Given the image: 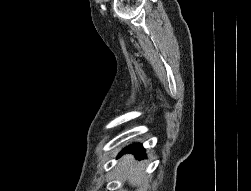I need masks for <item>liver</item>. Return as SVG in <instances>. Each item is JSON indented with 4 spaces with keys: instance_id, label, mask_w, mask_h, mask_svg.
I'll return each mask as SVG.
<instances>
[{
    "instance_id": "obj_1",
    "label": "liver",
    "mask_w": 251,
    "mask_h": 191,
    "mask_svg": "<svg viewBox=\"0 0 251 191\" xmlns=\"http://www.w3.org/2000/svg\"><path fill=\"white\" fill-rule=\"evenodd\" d=\"M118 171H121L122 177L128 179L131 185H139L140 181H147L146 175L143 173V167L136 165V159L131 153L123 155L118 163Z\"/></svg>"
}]
</instances>
